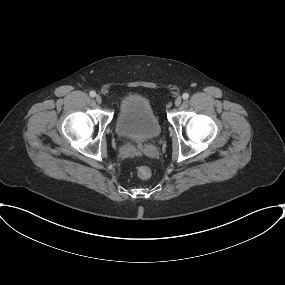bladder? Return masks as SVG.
Instances as JSON below:
<instances>
[{"instance_id":"bladder-1","label":"bladder","mask_w":285,"mask_h":285,"mask_svg":"<svg viewBox=\"0 0 285 285\" xmlns=\"http://www.w3.org/2000/svg\"><path fill=\"white\" fill-rule=\"evenodd\" d=\"M116 131L119 136L135 142L149 141L160 134L161 126L148 98L133 93L123 99Z\"/></svg>"}]
</instances>
